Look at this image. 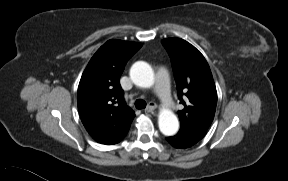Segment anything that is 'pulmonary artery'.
I'll return each mask as SVG.
<instances>
[{"label": "pulmonary artery", "mask_w": 288, "mask_h": 181, "mask_svg": "<svg viewBox=\"0 0 288 181\" xmlns=\"http://www.w3.org/2000/svg\"><path fill=\"white\" fill-rule=\"evenodd\" d=\"M155 92L164 106L173 104L169 88V79L167 71L162 68L156 74Z\"/></svg>", "instance_id": "e3ab8cb5"}]
</instances>
